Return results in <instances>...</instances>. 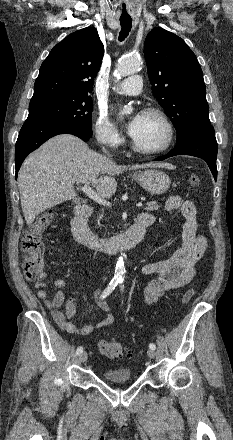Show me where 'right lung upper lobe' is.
<instances>
[{"mask_svg": "<svg viewBox=\"0 0 233 440\" xmlns=\"http://www.w3.org/2000/svg\"><path fill=\"white\" fill-rule=\"evenodd\" d=\"M103 55L104 46L96 28L71 33L53 47L42 63L30 103L90 97Z\"/></svg>", "mask_w": 233, "mask_h": 440, "instance_id": "right-lung-upper-lobe-1", "label": "right lung upper lobe"}]
</instances>
